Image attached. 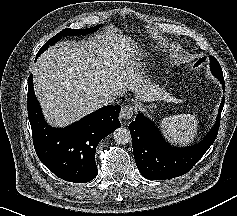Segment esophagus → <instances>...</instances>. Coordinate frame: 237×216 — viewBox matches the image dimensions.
Masks as SVG:
<instances>
[{"mask_svg": "<svg viewBox=\"0 0 237 216\" xmlns=\"http://www.w3.org/2000/svg\"><path fill=\"white\" fill-rule=\"evenodd\" d=\"M134 115V109L130 105H125L122 107L120 112V119L122 120H130Z\"/></svg>", "mask_w": 237, "mask_h": 216, "instance_id": "34e87169", "label": "esophagus"}]
</instances>
